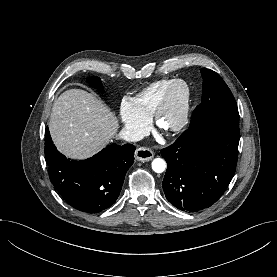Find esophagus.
<instances>
[{
  "label": "esophagus",
  "instance_id": "obj_1",
  "mask_svg": "<svg viewBox=\"0 0 277 277\" xmlns=\"http://www.w3.org/2000/svg\"><path fill=\"white\" fill-rule=\"evenodd\" d=\"M154 157V152L150 148L141 147L135 152V158L141 162H147Z\"/></svg>",
  "mask_w": 277,
  "mask_h": 277
}]
</instances>
